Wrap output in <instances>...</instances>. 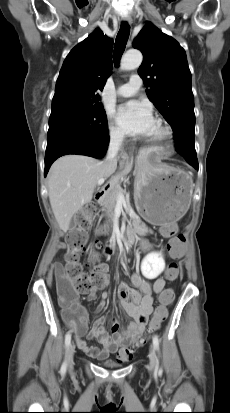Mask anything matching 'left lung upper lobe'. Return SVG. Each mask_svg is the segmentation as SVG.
I'll list each match as a JSON object with an SVG mask.
<instances>
[{
    "label": "left lung upper lobe",
    "instance_id": "obj_1",
    "mask_svg": "<svg viewBox=\"0 0 230 413\" xmlns=\"http://www.w3.org/2000/svg\"><path fill=\"white\" fill-rule=\"evenodd\" d=\"M133 47L143 54L138 74L149 100L173 128L176 151L196 154L194 96L185 50L150 22L139 32ZM180 139H186L187 144Z\"/></svg>",
    "mask_w": 230,
    "mask_h": 413
}]
</instances>
